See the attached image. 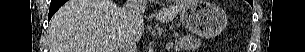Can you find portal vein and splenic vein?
Listing matches in <instances>:
<instances>
[{"mask_svg":"<svg viewBox=\"0 0 305 52\" xmlns=\"http://www.w3.org/2000/svg\"><path fill=\"white\" fill-rule=\"evenodd\" d=\"M170 46L172 47V46H173V43H170Z\"/></svg>","mask_w":305,"mask_h":52,"instance_id":"1","label":"portal vein and splenic vein"}]
</instances>
